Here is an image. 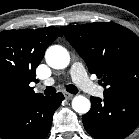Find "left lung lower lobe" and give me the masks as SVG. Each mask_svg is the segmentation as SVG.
Returning a JSON list of instances; mask_svg holds the SVG:
<instances>
[{"instance_id":"1","label":"left lung lower lobe","mask_w":139,"mask_h":139,"mask_svg":"<svg viewBox=\"0 0 139 139\" xmlns=\"http://www.w3.org/2000/svg\"><path fill=\"white\" fill-rule=\"evenodd\" d=\"M91 109L83 115L86 131L95 139H123L139 125V90L102 100L91 97Z\"/></svg>"}]
</instances>
